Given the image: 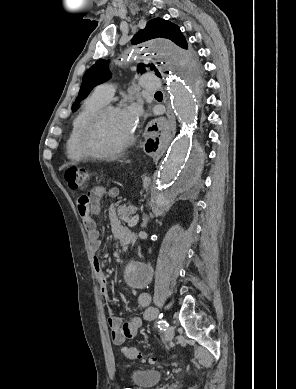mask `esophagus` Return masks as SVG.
I'll list each match as a JSON object with an SVG mask.
<instances>
[{"label": "esophagus", "instance_id": "1", "mask_svg": "<svg viewBox=\"0 0 296 389\" xmlns=\"http://www.w3.org/2000/svg\"><path fill=\"white\" fill-rule=\"evenodd\" d=\"M173 117V112L169 106L168 114L163 113V117L159 121H154L151 118H147L144 129V136L147 139H159L161 135L169 128L170 117Z\"/></svg>", "mask_w": 296, "mask_h": 389}]
</instances>
